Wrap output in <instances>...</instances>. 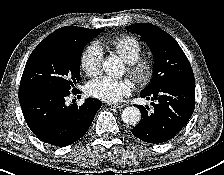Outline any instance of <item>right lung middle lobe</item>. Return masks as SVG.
<instances>
[{
    "label": "right lung middle lobe",
    "mask_w": 224,
    "mask_h": 175,
    "mask_svg": "<svg viewBox=\"0 0 224 175\" xmlns=\"http://www.w3.org/2000/svg\"><path fill=\"white\" fill-rule=\"evenodd\" d=\"M100 32H87L65 44L40 43L25 65L20 87L41 85L70 91L79 81L84 46Z\"/></svg>",
    "instance_id": "right-lung-middle-lobe-1"
}]
</instances>
